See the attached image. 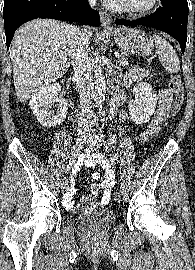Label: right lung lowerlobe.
<instances>
[{"mask_svg":"<svg viewBox=\"0 0 195 270\" xmlns=\"http://www.w3.org/2000/svg\"><path fill=\"white\" fill-rule=\"evenodd\" d=\"M3 17L7 48L15 30L36 18L100 25L99 13L90 8L88 0H4Z\"/></svg>","mask_w":195,"mask_h":270,"instance_id":"obj_1","label":"right lung lower lobe"}]
</instances>
